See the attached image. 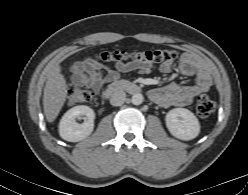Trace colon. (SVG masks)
<instances>
[{
	"mask_svg": "<svg viewBox=\"0 0 248 195\" xmlns=\"http://www.w3.org/2000/svg\"><path fill=\"white\" fill-rule=\"evenodd\" d=\"M178 57L176 51L164 50H149L143 53H128L124 51L103 52L98 55V58L107 62H120L128 59H142L152 63H159L168 59H175ZM67 100L71 105H78L87 103L92 100V94L84 89L70 85L67 89ZM215 110L214 101L208 96H200L197 100V114L201 118L209 117Z\"/></svg>",
	"mask_w": 248,
	"mask_h": 195,
	"instance_id": "1",
	"label": "colon"
}]
</instances>
